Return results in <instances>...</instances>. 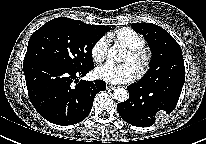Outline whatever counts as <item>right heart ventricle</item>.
Returning a JSON list of instances; mask_svg holds the SVG:
<instances>
[{"label":"right heart ventricle","instance_id":"1","mask_svg":"<svg viewBox=\"0 0 206 144\" xmlns=\"http://www.w3.org/2000/svg\"><path fill=\"white\" fill-rule=\"evenodd\" d=\"M109 38L124 44L129 49H140L145 46L144 38L130 28H121L109 35Z\"/></svg>","mask_w":206,"mask_h":144}]
</instances>
